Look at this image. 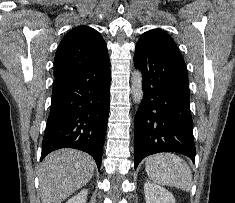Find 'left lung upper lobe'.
<instances>
[{"label":"left lung upper lobe","instance_id":"obj_1","mask_svg":"<svg viewBox=\"0 0 235 203\" xmlns=\"http://www.w3.org/2000/svg\"><path fill=\"white\" fill-rule=\"evenodd\" d=\"M138 42L160 44L163 47L169 48L173 52L181 56L173 39L161 29H153V30L147 31L146 33L143 34V36L139 39Z\"/></svg>","mask_w":235,"mask_h":203}]
</instances>
